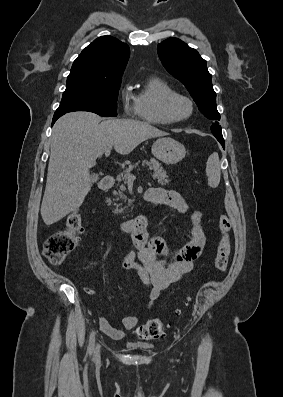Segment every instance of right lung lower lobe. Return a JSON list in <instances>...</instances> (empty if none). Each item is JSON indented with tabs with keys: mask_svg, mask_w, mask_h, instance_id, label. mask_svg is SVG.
Masks as SVG:
<instances>
[{
	"mask_svg": "<svg viewBox=\"0 0 283 397\" xmlns=\"http://www.w3.org/2000/svg\"><path fill=\"white\" fill-rule=\"evenodd\" d=\"M65 113H55L53 116V120H52V125L55 123V121L61 117L62 115H64Z\"/></svg>",
	"mask_w": 283,
	"mask_h": 397,
	"instance_id": "1",
	"label": "right lung lower lobe"
}]
</instances>
